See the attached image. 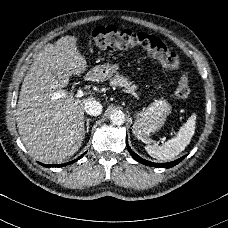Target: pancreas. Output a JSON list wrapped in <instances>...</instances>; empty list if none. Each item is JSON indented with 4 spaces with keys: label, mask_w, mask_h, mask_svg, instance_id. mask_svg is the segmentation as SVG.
<instances>
[{
    "label": "pancreas",
    "mask_w": 228,
    "mask_h": 228,
    "mask_svg": "<svg viewBox=\"0 0 228 228\" xmlns=\"http://www.w3.org/2000/svg\"><path fill=\"white\" fill-rule=\"evenodd\" d=\"M111 85L124 87L130 93H133L134 91L137 90V87L135 85H133L130 82H128V80L125 77L121 76V75H117L116 78L112 79L111 80Z\"/></svg>",
    "instance_id": "obj_1"
}]
</instances>
